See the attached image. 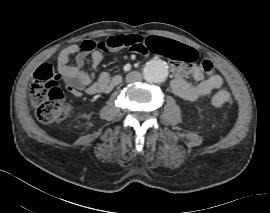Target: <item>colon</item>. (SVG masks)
Segmentation results:
<instances>
[{
  "label": "colon",
  "mask_w": 270,
  "mask_h": 213,
  "mask_svg": "<svg viewBox=\"0 0 270 213\" xmlns=\"http://www.w3.org/2000/svg\"><path fill=\"white\" fill-rule=\"evenodd\" d=\"M127 40L132 50L136 49V42L142 47L145 46L142 39L135 35L127 36ZM147 43L157 47L162 53L173 49L172 46L163 44L156 38L149 39ZM202 68L209 73L212 70L210 61L203 60ZM58 81L59 76L54 73L51 65L47 63L41 64L35 71L31 87V98L36 107L37 117L42 122H60L70 113L71 106L65 101ZM231 98L230 89L224 86L214 93L211 102L214 107H223L230 104Z\"/></svg>",
  "instance_id": "5ec220e1"
}]
</instances>
